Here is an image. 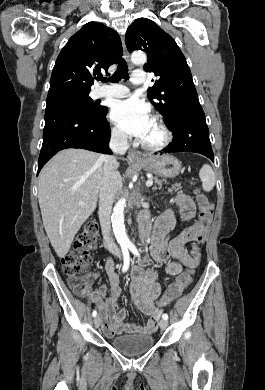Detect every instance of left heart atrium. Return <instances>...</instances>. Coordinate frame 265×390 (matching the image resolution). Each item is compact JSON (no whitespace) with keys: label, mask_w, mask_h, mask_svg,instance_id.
<instances>
[{"label":"left heart atrium","mask_w":265,"mask_h":390,"mask_svg":"<svg viewBox=\"0 0 265 390\" xmlns=\"http://www.w3.org/2000/svg\"><path fill=\"white\" fill-rule=\"evenodd\" d=\"M111 117L124 133L140 140L146 137L153 124L148 105L138 98L116 102Z\"/></svg>","instance_id":"left-heart-atrium-1"}]
</instances>
